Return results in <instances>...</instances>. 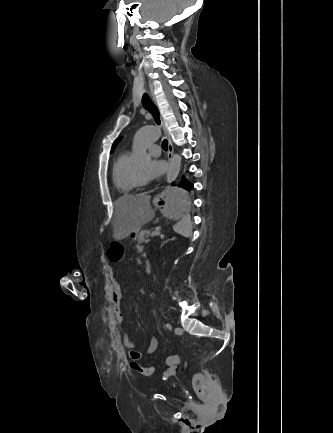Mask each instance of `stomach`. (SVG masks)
<instances>
[{
	"label": "stomach",
	"instance_id": "0dacf381",
	"mask_svg": "<svg viewBox=\"0 0 333 433\" xmlns=\"http://www.w3.org/2000/svg\"><path fill=\"white\" fill-rule=\"evenodd\" d=\"M163 192L159 195L155 204L160 208L163 220H184L188 210L191 208L190 201L186 200L187 192L182 183H167ZM162 204V205H161ZM138 233L132 232L130 236L137 237Z\"/></svg>",
	"mask_w": 333,
	"mask_h": 433
}]
</instances>
